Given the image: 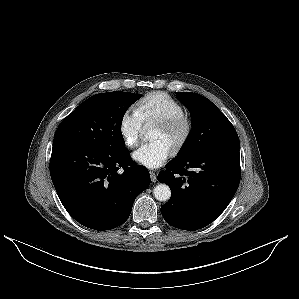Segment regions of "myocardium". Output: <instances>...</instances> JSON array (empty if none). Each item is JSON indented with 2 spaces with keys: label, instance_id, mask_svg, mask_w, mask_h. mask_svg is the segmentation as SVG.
I'll list each match as a JSON object with an SVG mask.
<instances>
[{
  "label": "myocardium",
  "instance_id": "f54148a6",
  "mask_svg": "<svg viewBox=\"0 0 299 299\" xmlns=\"http://www.w3.org/2000/svg\"><path fill=\"white\" fill-rule=\"evenodd\" d=\"M156 126L169 132L181 129V136L171 148L174 153H178L187 145L194 129L192 119L186 115L160 121Z\"/></svg>",
  "mask_w": 299,
  "mask_h": 299
}]
</instances>
